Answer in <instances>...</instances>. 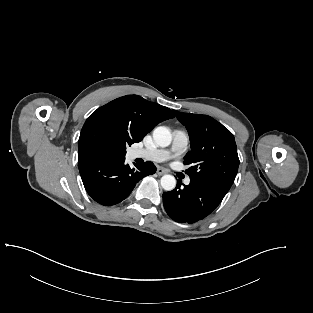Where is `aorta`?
Segmentation results:
<instances>
[{
    "label": "aorta",
    "mask_w": 313,
    "mask_h": 313,
    "mask_svg": "<svg viewBox=\"0 0 313 313\" xmlns=\"http://www.w3.org/2000/svg\"><path fill=\"white\" fill-rule=\"evenodd\" d=\"M153 139L158 146L167 147L172 141L171 132L165 126L157 127L153 131ZM160 184L164 190L171 191L176 186V179L172 175H164L160 180Z\"/></svg>",
    "instance_id": "1"
}]
</instances>
